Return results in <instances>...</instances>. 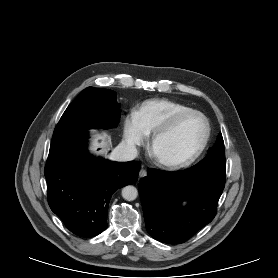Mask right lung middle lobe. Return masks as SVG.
I'll return each mask as SVG.
<instances>
[{
    "instance_id": "right-lung-middle-lobe-1",
    "label": "right lung middle lobe",
    "mask_w": 278,
    "mask_h": 278,
    "mask_svg": "<svg viewBox=\"0 0 278 278\" xmlns=\"http://www.w3.org/2000/svg\"><path fill=\"white\" fill-rule=\"evenodd\" d=\"M115 93L107 89L88 87L67 107L58 122L52 143L59 142L90 128L116 127L120 111Z\"/></svg>"
}]
</instances>
